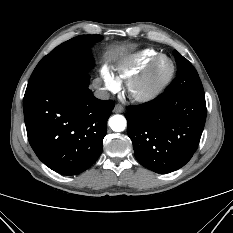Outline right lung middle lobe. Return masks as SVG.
<instances>
[{"instance_id": "dd1d6c3e", "label": "right lung middle lobe", "mask_w": 233, "mask_h": 233, "mask_svg": "<svg viewBox=\"0 0 233 233\" xmlns=\"http://www.w3.org/2000/svg\"><path fill=\"white\" fill-rule=\"evenodd\" d=\"M101 35H81L57 46L34 69L25 95L33 93L50 82L65 76L85 73L93 66L88 49Z\"/></svg>"}]
</instances>
